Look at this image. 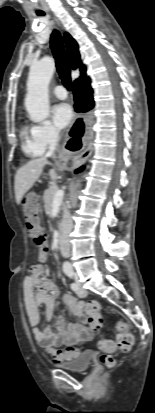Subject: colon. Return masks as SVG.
I'll use <instances>...</instances> for the list:
<instances>
[{
  "label": "colon",
  "instance_id": "colon-1",
  "mask_svg": "<svg viewBox=\"0 0 155 413\" xmlns=\"http://www.w3.org/2000/svg\"><path fill=\"white\" fill-rule=\"evenodd\" d=\"M40 204V194L38 192H25L24 197L22 198V205L25 215V220L27 223L28 233L33 238V241L37 247V258L43 260L47 257V234L42 226L39 216L38 210L36 206ZM101 306L97 300H89L87 302V312L92 315H101L100 314ZM118 329V336H117V347L123 351L128 352L131 350L133 346V335L128 330V325L120 321L117 324ZM100 346L107 351L113 349V346L103 340L100 342ZM101 362L107 366L112 367L115 364V359L110 354H102L100 356Z\"/></svg>",
  "mask_w": 155,
  "mask_h": 413
}]
</instances>
